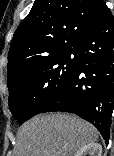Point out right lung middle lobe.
<instances>
[{
	"instance_id": "obj_1",
	"label": "right lung middle lobe",
	"mask_w": 114,
	"mask_h": 156,
	"mask_svg": "<svg viewBox=\"0 0 114 156\" xmlns=\"http://www.w3.org/2000/svg\"><path fill=\"white\" fill-rule=\"evenodd\" d=\"M78 65V51L72 48L17 76L8 86L12 115L21 124L41 113L63 92Z\"/></svg>"
}]
</instances>
